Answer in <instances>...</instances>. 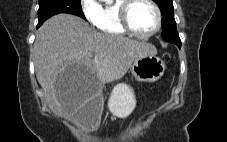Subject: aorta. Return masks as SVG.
Here are the masks:
<instances>
[{
  "instance_id": "aorta-1",
  "label": "aorta",
  "mask_w": 227,
  "mask_h": 142,
  "mask_svg": "<svg viewBox=\"0 0 227 142\" xmlns=\"http://www.w3.org/2000/svg\"><path fill=\"white\" fill-rule=\"evenodd\" d=\"M105 1H107V2H111L112 0H105Z\"/></svg>"
}]
</instances>
